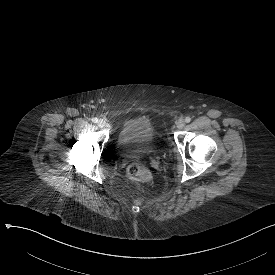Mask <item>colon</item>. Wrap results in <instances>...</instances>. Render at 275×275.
I'll return each instance as SVG.
<instances>
[{"label":"colon","instance_id":"1","mask_svg":"<svg viewBox=\"0 0 275 275\" xmlns=\"http://www.w3.org/2000/svg\"><path fill=\"white\" fill-rule=\"evenodd\" d=\"M127 177L135 182L149 183L152 180V173L143 165L130 164L127 168Z\"/></svg>","mask_w":275,"mask_h":275}]
</instances>
